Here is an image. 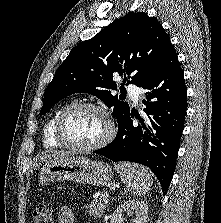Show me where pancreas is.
Returning <instances> with one entry per match:
<instances>
[{"mask_svg": "<svg viewBox=\"0 0 221 223\" xmlns=\"http://www.w3.org/2000/svg\"><path fill=\"white\" fill-rule=\"evenodd\" d=\"M108 194H102L100 198H95L90 205H87L88 214L94 218H99L102 216L103 211L108 205L109 198Z\"/></svg>", "mask_w": 221, "mask_h": 223, "instance_id": "cf45deb5", "label": "pancreas"}]
</instances>
